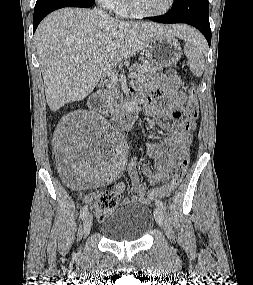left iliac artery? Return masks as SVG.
Wrapping results in <instances>:
<instances>
[{
  "mask_svg": "<svg viewBox=\"0 0 253 285\" xmlns=\"http://www.w3.org/2000/svg\"><path fill=\"white\" fill-rule=\"evenodd\" d=\"M155 204H156V206L160 207L161 209H163V210L165 209V207H164L162 201L156 200V201H155Z\"/></svg>",
  "mask_w": 253,
  "mask_h": 285,
  "instance_id": "obj_1",
  "label": "left iliac artery"
}]
</instances>
